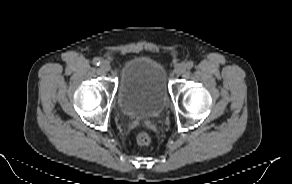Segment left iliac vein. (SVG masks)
Segmentation results:
<instances>
[{
  "mask_svg": "<svg viewBox=\"0 0 292 184\" xmlns=\"http://www.w3.org/2000/svg\"><path fill=\"white\" fill-rule=\"evenodd\" d=\"M186 70V65L184 63L177 64L174 68V73L176 75H181Z\"/></svg>",
  "mask_w": 292,
  "mask_h": 184,
  "instance_id": "left-iliac-vein-1",
  "label": "left iliac vein"
}]
</instances>
